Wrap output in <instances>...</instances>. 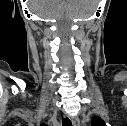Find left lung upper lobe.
Segmentation results:
<instances>
[{"label":"left lung upper lobe","mask_w":127,"mask_h":126,"mask_svg":"<svg viewBox=\"0 0 127 126\" xmlns=\"http://www.w3.org/2000/svg\"><path fill=\"white\" fill-rule=\"evenodd\" d=\"M91 126H106L105 122L103 121V119H101L100 117H94L92 119V124Z\"/></svg>","instance_id":"1"}]
</instances>
